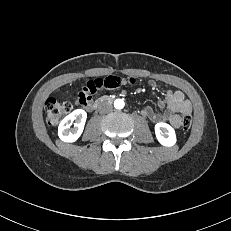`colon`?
<instances>
[{"label": "colon", "instance_id": "1", "mask_svg": "<svg viewBox=\"0 0 231 231\" xmlns=\"http://www.w3.org/2000/svg\"><path fill=\"white\" fill-rule=\"evenodd\" d=\"M46 121L50 126H56L61 119L70 113L72 110V104L68 101H59L55 98H49L46 101ZM192 124V117L190 114H186L182 118L181 127L187 131Z\"/></svg>", "mask_w": 231, "mask_h": 231}]
</instances>
